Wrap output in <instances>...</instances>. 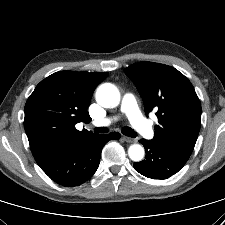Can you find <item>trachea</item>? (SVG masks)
I'll list each match as a JSON object with an SVG mask.
<instances>
[{
    "instance_id": "3493384b",
    "label": "trachea",
    "mask_w": 225,
    "mask_h": 225,
    "mask_svg": "<svg viewBox=\"0 0 225 225\" xmlns=\"http://www.w3.org/2000/svg\"><path fill=\"white\" fill-rule=\"evenodd\" d=\"M94 132L95 133H108L109 129L106 127H96V128H94ZM122 133L128 137H136V133L134 132V130L127 126L122 128Z\"/></svg>"
}]
</instances>
